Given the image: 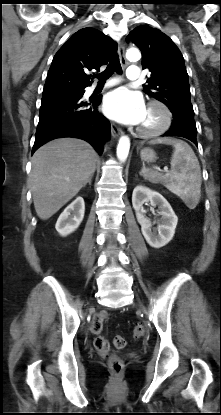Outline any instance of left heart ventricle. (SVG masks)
I'll use <instances>...</instances> for the list:
<instances>
[{
    "mask_svg": "<svg viewBox=\"0 0 221 415\" xmlns=\"http://www.w3.org/2000/svg\"><path fill=\"white\" fill-rule=\"evenodd\" d=\"M162 119L161 112L157 108H146L140 127L151 129L156 127Z\"/></svg>",
    "mask_w": 221,
    "mask_h": 415,
    "instance_id": "left-heart-ventricle-1",
    "label": "left heart ventricle"
}]
</instances>
